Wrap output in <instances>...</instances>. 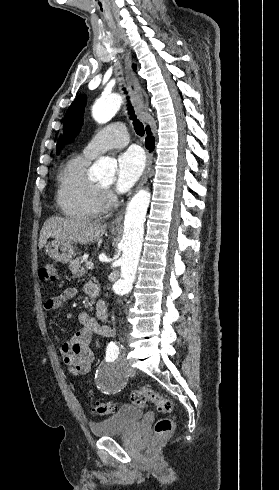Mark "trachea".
Instances as JSON below:
<instances>
[{
  "label": "trachea",
  "mask_w": 279,
  "mask_h": 490,
  "mask_svg": "<svg viewBox=\"0 0 279 490\" xmlns=\"http://www.w3.org/2000/svg\"><path fill=\"white\" fill-rule=\"evenodd\" d=\"M128 112L130 115V119L133 120L135 132L137 133V135H140L142 137L144 135L143 124L139 120H137L133 107L130 103H128Z\"/></svg>",
  "instance_id": "trachea-1"
}]
</instances>
